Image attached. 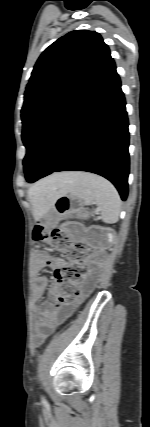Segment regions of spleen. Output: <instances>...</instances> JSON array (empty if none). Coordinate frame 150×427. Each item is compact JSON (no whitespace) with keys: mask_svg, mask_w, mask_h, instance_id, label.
Segmentation results:
<instances>
[{"mask_svg":"<svg viewBox=\"0 0 150 427\" xmlns=\"http://www.w3.org/2000/svg\"><path fill=\"white\" fill-rule=\"evenodd\" d=\"M67 179L66 191L85 204H95L106 224L116 223L121 211V199L116 188L105 178L90 173L75 172Z\"/></svg>","mask_w":150,"mask_h":427,"instance_id":"1","label":"spleen"}]
</instances>
